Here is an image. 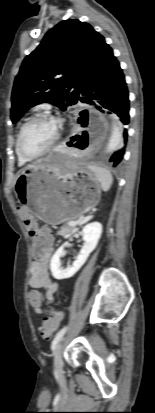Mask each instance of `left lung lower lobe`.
Returning a JSON list of instances; mask_svg holds the SVG:
<instances>
[{
	"instance_id": "1",
	"label": "left lung lower lobe",
	"mask_w": 155,
	"mask_h": 413,
	"mask_svg": "<svg viewBox=\"0 0 155 413\" xmlns=\"http://www.w3.org/2000/svg\"><path fill=\"white\" fill-rule=\"evenodd\" d=\"M81 102L94 105L104 112V108L116 113L124 124L129 122V99L124 74L119 62L107 45L101 57L83 82ZM127 142V130L123 132ZM125 147L115 152L110 158L116 167L123 159Z\"/></svg>"
}]
</instances>
